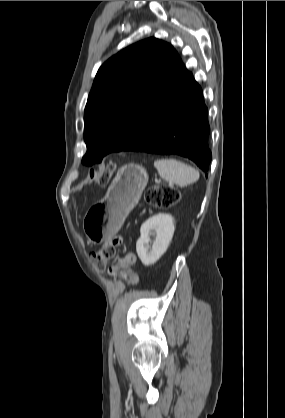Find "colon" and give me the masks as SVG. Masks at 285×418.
<instances>
[{"mask_svg":"<svg viewBox=\"0 0 285 418\" xmlns=\"http://www.w3.org/2000/svg\"><path fill=\"white\" fill-rule=\"evenodd\" d=\"M115 169L113 163L106 166L96 168L90 172L89 178L96 181L100 186H107L110 181V175ZM146 202L155 208H167L176 205L180 199V192L176 189L170 188L165 184H158L150 187L144 194ZM114 248L110 245L102 246L93 251L89 258L92 264L100 271L107 268L108 262L114 257ZM129 264H133L134 256L129 255ZM126 267V263L123 264Z\"/></svg>","mask_w":285,"mask_h":418,"instance_id":"1","label":"colon"}]
</instances>
